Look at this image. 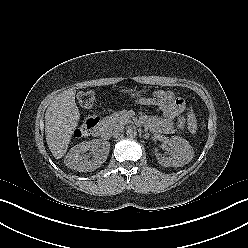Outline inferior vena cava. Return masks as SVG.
<instances>
[{"instance_id":"obj_1","label":"inferior vena cava","mask_w":248,"mask_h":248,"mask_svg":"<svg viewBox=\"0 0 248 248\" xmlns=\"http://www.w3.org/2000/svg\"><path fill=\"white\" fill-rule=\"evenodd\" d=\"M122 130H123V128H121V127L113 128V129L110 130V135L118 136V135H120Z\"/></svg>"}]
</instances>
